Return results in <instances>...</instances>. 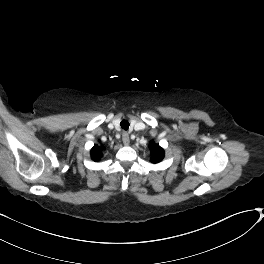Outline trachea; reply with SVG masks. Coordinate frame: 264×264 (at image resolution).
<instances>
[{
	"instance_id": "1",
	"label": "trachea",
	"mask_w": 264,
	"mask_h": 264,
	"mask_svg": "<svg viewBox=\"0 0 264 264\" xmlns=\"http://www.w3.org/2000/svg\"><path fill=\"white\" fill-rule=\"evenodd\" d=\"M120 126L122 129L127 130L129 128V122L127 120H122Z\"/></svg>"
}]
</instances>
